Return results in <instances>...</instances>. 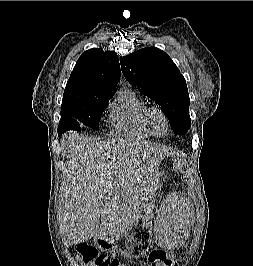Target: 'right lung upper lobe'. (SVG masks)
<instances>
[{
  "mask_svg": "<svg viewBox=\"0 0 253 266\" xmlns=\"http://www.w3.org/2000/svg\"><path fill=\"white\" fill-rule=\"evenodd\" d=\"M119 80L120 65L115 52L97 48L87 50L71 72L62 104L84 103L113 95Z\"/></svg>",
  "mask_w": 253,
  "mask_h": 266,
  "instance_id": "cb5924a9",
  "label": "right lung upper lobe"
}]
</instances>
